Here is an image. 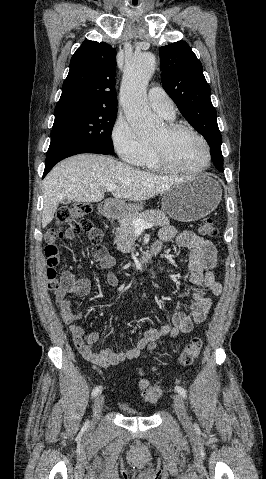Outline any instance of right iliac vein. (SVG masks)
Returning a JSON list of instances; mask_svg holds the SVG:
<instances>
[{
	"label": "right iliac vein",
	"instance_id": "1",
	"mask_svg": "<svg viewBox=\"0 0 266 479\" xmlns=\"http://www.w3.org/2000/svg\"><path fill=\"white\" fill-rule=\"evenodd\" d=\"M103 405H104V395L99 394L95 398L94 405H93V423H92V425L96 424V422H97V420L100 416V413L102 411Z\"/></svg>",
	"mask_w": 266,
	"mask_h": 479
}]
</instances>
